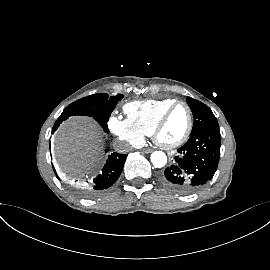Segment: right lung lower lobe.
Segmentation results:
<instances>
[{"mask_svg":"<svg viewBox=\"0 0 270 270\" xmlns=\"http://www.w3.org/2000/svg\"><path fill=\"white\" fill-rule=\"evenodd\" d=\"M63 120L65 119H58L55 122L52 129V133H54V131L59 127V124ZM95 120L102 126V128L104 129L106 133L109 132L106 120H102V119H95ZM105 151L108 152L109 150L106 149ZM126 157L127 155H124V154H118L115 152L111 153L104 168L102 169V174L94 178L91 186H85L82 189V194H84L85 196H95L104 192L109 187H111L119 178L123 170ZM54 172H55V169H54Z\"/></svg>","mask_w":270,"mask_h":270,"instance_id":"1","label":"right lung lower lobe"}]
</instances>
